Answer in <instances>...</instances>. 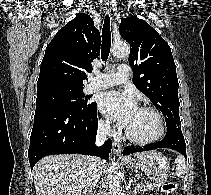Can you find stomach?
<instances>
[{"instance_id": "0dacf381", "label": "stomach", "mask_w": 211, "mask_h": 195, "mask_svg": "<svg viewBox=\"0 0 211 195\" xmlns=\"http://www.w3.org/2000/svg\"><path fill=\"white\" fill-rule=\"evenodd\" d=\"M124 165L130 169H139L157 180H164L170 171L167 158L160 152L150 151L139 159H125Z\"/></svg>"}]
</instances>
